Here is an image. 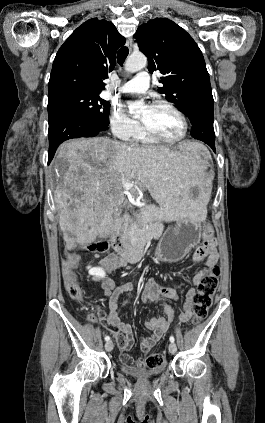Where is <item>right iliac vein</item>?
Listing matches in <instances>:
<instances>
[{"label": "right iliac vein", "mask_w": 265, "mask_h": 423, "mask_svg": "<svg viewBox=\"0 0 265 423\" xmlns=\"http://www.w3.org/2000/svg\"><path fill=\"white\" fill-rule=\"evenodd\" d=\"M113 347H114V345H113V342H112V341H108V342L105 344V349H106V351H108V352L112 351V350H113Z\"/></svg>", "instance_id": "1"}]
</instances>
